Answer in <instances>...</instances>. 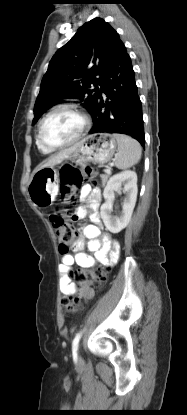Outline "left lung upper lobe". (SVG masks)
Here are the masks:
<instances>
[{
    "label": "left lung upper lobe",
    "mask_w": 187,
    "mask_h": 415,
    "mask_svg": "<svg viewBox=\"0 0 187 415\" xmlns=\"http://www.w3.org/2000/svg\"><path fill=\"white\" fill-rule=\"evenodd\" d=\"M118 33L109 23L95 18L78 29L52 57L34 106L33 123L60 99L84 102L92 115L99 97L102 73Z\"/></svg>",
    "instance_id": "5c2ea615"
}]
</instances>
